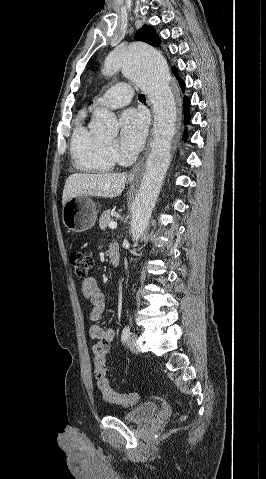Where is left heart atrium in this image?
I'll list each match as a JSON object with an SVG mask.
<instances>
[{"label":"left heart atrium","instance_id":"39dd6f15","mask_svg":"<svg viewBox=\"0 0 266 479\" xmlns=\"http://www.w3.org/2000/svg\"><path fill=\"white\" fill-rule=\"evenodd\" d=\"M148 119L141 110L130 109L121 117L120 145L126 153H137L146 138Z\"/></svg>","mask_w":266,"mask_h":479}]
</instances>
